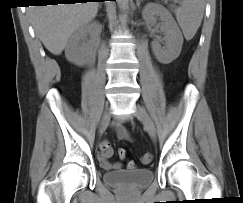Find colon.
<instances>
[{
	"label": "colon",
	"mask_w": 243,
	"mask_h": 203,
	"mask_svg": "<svg viewBox=\"0 0 243 203\" xmlns=\"http://www.w3.org/2000/svg\"><path fill=\"white\" fill-rule=\"evenodd\" d=\"M118 153H119L120 156H125V150H124V149H119ZM152 159H153L152 154H151V153H146V154H144V155L142 156V158H141V162H142L143 164H149V163L152 162ZM135 166H136V165H135V163H134L133 161H130V162H128V164H127V168H128V169H134Z\"/></svg>",
	"instance_id": "obj_1"
}]
</instances>
